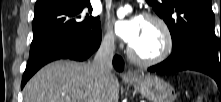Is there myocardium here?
<instances>
[{"instance_id":"myocardium-1","label":"myocardium","mask_w":221,"mask_h":102,"mask_svg":"<svg viewBox=\"0 0 221 102\" xmlns=\"http://www.w3.org/2000/svg\"><path fill=\"white\" fill-rule=\"evenodd\" d=\"M143 17L144 19L155 23L162 31L164 37L163 49L158 55L151 58H143L139 56L131 45L128 46L127 52L129 58L135 63L142 66H152L163 62L170 56L174 45L173 35L168 24L160 16L153 13H145Z\"/></svg>"}]
</instances>
